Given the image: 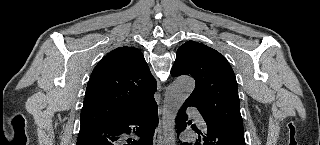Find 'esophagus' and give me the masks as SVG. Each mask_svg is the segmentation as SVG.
Instances as JSON below:
<instances>
[{"label": "esophagus", "instance_id": "1", "mask_svg": "<svg viewBox=\"0 0 320 145\" xmlns=\"http://www.w3.org/2000/svg\"><path fill=\"white\" fill-rule=\"evenodd\" d=\"M153 144L154 145H163V128H162V121L159 119V125L156 128L154 137H153Z\"/></svg>", "mask_w": 320, "mask_h": 145}]
</instances>
